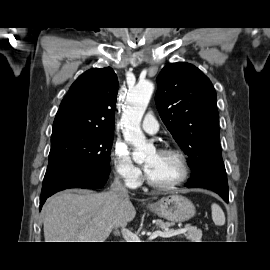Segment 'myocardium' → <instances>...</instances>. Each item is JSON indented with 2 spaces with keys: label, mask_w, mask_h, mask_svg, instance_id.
Listing matches in <instances>:
<instances>
[{
  "label": "myocardium",
  "mask_w": 270,
  "mask_h": 270,
  "mask_svg": "<svg viewBox=\"0 0 270 270\" xmlns=\"http://www.w3.org/2000/svg\"><path fill=\"white\" fill-rule=\"evenodd\" d=\"M159 152L174 155L178 158V160L180 162V166H181V175L179 176L178 179H176L170 183L158 184V183H155L154 181H152L146 172L145 173V180H146L147 184L150 187H152L153 189L160 190V191L172 190V189H175V188L181 186L184 182H186V180L188 179L189 174H190V167H189V162H188L187 156L180 149L170 148V147L163 148Z\"/></svg>",
  "instance_id": "1"
}]
</instances>
